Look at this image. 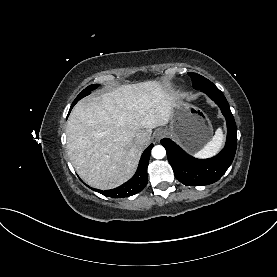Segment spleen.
<instances>
[{"label": "spleen", "mask_w": 277, "mask_h": 277, "mask_svg": "<svg viewBox=\"0 0 277 277\" xmlns=\"http://www.w3.org/2000/svg\"><path fill=\"white\" fill-rule=\"evenodd\" d=\"M224 141V135L221 128H218L212 139L197 153L195 157L197 158H207L216 154L221 148Z\"/></svg>", "instance_id": "obj_1"}]
</instances>
